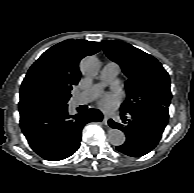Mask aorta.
Segmentation results:
<instances>
[{"instance_id": "obj_1", "label": "aorta", "mask_w": 194, "mask_h": 193, "mask_svg": "<svg viewBox=\"0 0 194 193\" xmlns=\"http://www.w3.org/2000/svg\"><path fill=\"white\" fill-rule=\"evenodd\" d=\"M80 69L86 76H96L100 69L99 60L95 56H87L82 59ZM107 137L109 142L114 146L122 145L126 139L125 134L121 130L115 128H110L108 130Z\"/></svg>"}]
</instances>
